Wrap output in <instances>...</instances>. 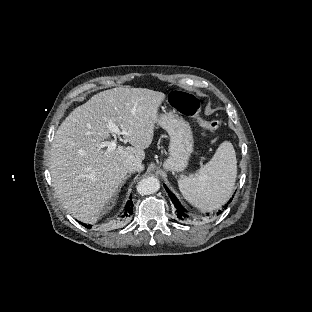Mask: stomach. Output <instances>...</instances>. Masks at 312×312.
Returning <instances> with one entry per match:
<instances>
[{
	"mask_svg": "<svg viewBox=\"0 0 312 312\" xmlns=\"http://www.w3.org/2000/svg\"><path fill=\"white\" fill-rule=\"evenodd\" d=\"M159 126L167 131L170 139L163 167L168 171L182 173L188 167L194 151L195 141L190 124L182 116L169 112L160 116Z\"/></svg>",
	"mask_w": 312,
	"mask_h": 312,
	"instance_id": "obj_1",
	"label": "stomach"
}]
</instances>
